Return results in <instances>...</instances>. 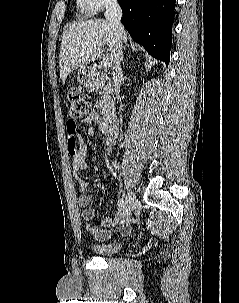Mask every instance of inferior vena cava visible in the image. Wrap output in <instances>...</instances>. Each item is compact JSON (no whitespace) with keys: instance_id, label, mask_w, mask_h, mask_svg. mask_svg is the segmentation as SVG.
Instances as JSON below:
<instances>
[{"instance_id":"inferior-vena-cava-1","label":"inferior vena cava","mask_w":239,"mask_h":303,"mask_svg":"<svg viewBox=\"0 0 239 303\" xmlns=\"http://www.w3.org/2000/svg\"><path fill=\"white\" fill-rule=\"evenodd\" d=\"M105 18L111 24L115 31V36L117 39V47L115 53V62L113 66V77L115 83V93L117 100H119L120 84L123 79V71L121 68L122 60V45L126 41V32L121 24L122 10L117 2V0H110L106 5Z\"/></svg>"}]
</instances>
